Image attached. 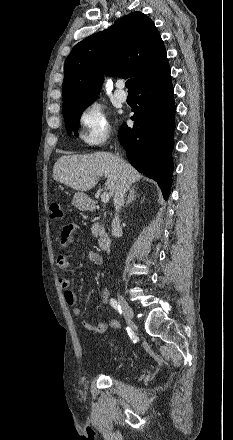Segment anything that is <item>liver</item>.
Segmentation results:
<instances>
[{
	"label": "liver",
	"instance_id": "1",
	"mask_svg": "<svg viewBox=\"0 0 233 440\" xmlns=\"http://www.w3.org/2000/svg\"><path fill=\"white\" fill-rule=\"evenodd\" d=\"M102 176L107 178L105 188L110 195L115 194L122 177L128 185L141 179V174L129 163L109 152L61 156L53 167L55 181L78 191H89Z\"/></svg>",
	"mask_w": 233,
	"mask_h": 440
}]
</instances>
